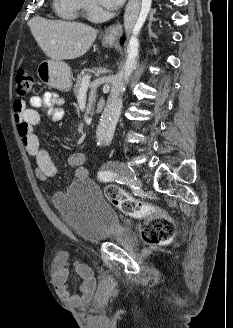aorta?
Listing matches in <instances>:
<instances>
[{
    "mask_svg": "<svg viewBox=\"0 0 233 328\" xmlns=\"http://www.w3.org/2000/svg\"><path fill=\"white\" fill-rule=\"evenodd\" d=\"M152 0H129L124 13V29L126 34L131 31L133 35L127 47V62L125 70L119 71L111 79V91L108 96L105 108L100 117L97 130L96 141L98 145H109L112 141L117 122L121 115L123 105L122 91L131 73L136 67L139 54V32L149 13Z\"/></svg>",
    "mask_w": 233,
    "mask_h": 328,
    "instance_id": "762f6f07",
    "label": "aorta"
}]
</instances>
